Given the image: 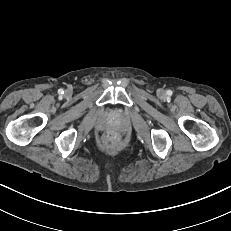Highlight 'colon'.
<instances>
[{
	"label": "colon",
	"instance_id": "5ec220e1",
	"mask_svg": "<svg viewBox=\"0 0 231 231\" xmlns=\"http://www.w3.org/2000/svg\"><path fill=\"white\" fill-rule=\"evenodd\" d=\"M103 139L106 143H115L117 142L118 140V137L115 133L113 132H106L104 135H103Z\"/></svg>",
	"mask_w": 231,
	"mask_h": 231
}]
</instances>
